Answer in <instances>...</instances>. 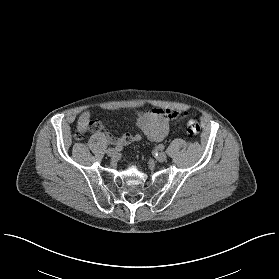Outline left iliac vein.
I'll use <instances>...</instances> for the list:
<instances>
[{
  "label": "left iliac vein",
  "mask_w": 279,
  "mask_h": 279,
  "mask_svg": "<svg viewBox=\"0 0 279 279\" xmlns=\"http://www.w3.org/2000/svg\"><path fill=\"white\" fill-rule=\"evenodd\" d=\"M167 159V155L164 152L158 153L156 160L158 162H164Z\"/></svg>",
  "instance_id": "1"
}]
</instances>
